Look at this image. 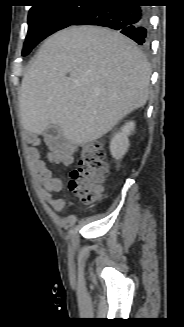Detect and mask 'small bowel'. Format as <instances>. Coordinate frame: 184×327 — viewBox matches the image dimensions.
Returning a JSON list of instances; mask_svg holds the SVG:
<instances>
[{
  "mask_svg": "<svg viewBox=\"0 0 184 327\" xmlns=\"http://www.w3.org/2000/svg\"><path fill=\"white\" fill-rule=\"evenodd\" d=\"M29 141L35 142L38 140L36 136H27ZM42 139L49 148L48 158L54 163H62L70 165L73 162L76 151L75 146L60 144L52 136H43ZM28 158L33 168L35 175L41 180L44 186V195L51 207L59 212L65 207V200L56 197V194L61 192L63 184L62 180L53 175L52 171L46 166L45 161L41 158L39 150L36 146L30 147L28 150Z\"/></svg>",
  "mask_w": 184,
  "mask_h": 327,
  "instance_id": "1",
  "label": "small bowel"
}]
</instances>
